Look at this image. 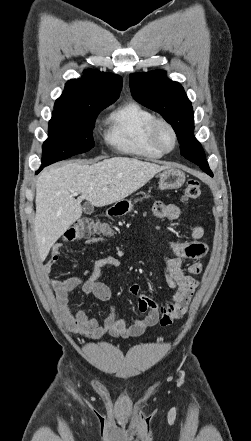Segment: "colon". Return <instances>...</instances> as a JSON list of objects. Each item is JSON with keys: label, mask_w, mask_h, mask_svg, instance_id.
<instances>
[{"label": "colon", "mask_w": 251, "mask_h": 441, "mask_svg": "<svg viewBox=\"0 0 251 441\" xmlns=\"http://www.w3.org/2000/svg\"><path fill=\"white\" fill-rule=\"evenodd\" d=\"M200 194V183L194 179L189 180L184 190V200L191 201L197 199ZM109 233L110 228L106 223L90 218H82L65 231L63 239L66 242H73L96 235H108Z\"/></svg>", "instance_id": "5ec220e1"}]
</instances>
